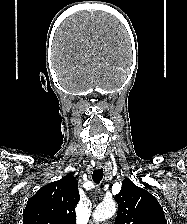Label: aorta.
<instances>
[{"instance_id":"762f6f07","label":"aorta","mask_w":187,"mask_h":224,"mask_svg":"<svg viewBox=\"0 0 187 224\" xmlns=\"http://www.w3.org/2000/svg\"><path fill=\"white\" fill-rule=\"evenodd\" d=\"M116 212L115 202H104L101 203L93 213V220L95 222H102L106 219L111 218Z\"/></svg>"}]
</instances>
